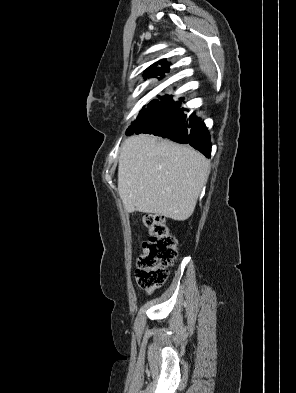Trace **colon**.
<instances>
[{
  "mask_svg": "<svg viewBox=\"0 0 296 393\" xmlns=\"http://www.w3.org/2000/svg\"><path fill=\"white\" fill-rule=\"evenodd\" d=\"M143 223L149 237L142 243V252L137 260L136 278L139 286L151 293L166 281L168 267L177 254V241L171 234L165 218L148 213Z\"/></svg>",
  "mask_w": 296,
  "mask_h": 393,
  "instance_id": "obj_1",
  "label": "colon"
}]
</instances>
